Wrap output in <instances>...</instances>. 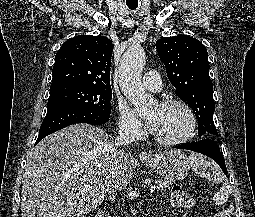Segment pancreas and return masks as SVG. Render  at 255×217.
I'll return each mask as SVG.
<instances>
[{
	"mask_svg": "<svg viewBox=\"0 0 255 217\" xmlns=\"http://www.w3.org/2000/svg\"><path fill=\"white\" fill-rule=\"evenodd\" d=\"M157 183L159 185V188H162V189L169 187L173 184V182L170 180H158Z\"/></svg>",
	"mask_w": 255,
	"mask_h": 217,
	"instance_id": "pancreas-1",
	"label": "pancreas"
}]
</instances>
